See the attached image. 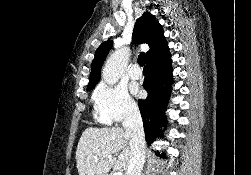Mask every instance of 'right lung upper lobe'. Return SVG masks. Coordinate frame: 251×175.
Segmentation results:
<instances>
[{"instance_id": "1", "label": "right lung upper lobe", "mask_w": 251, "mask_h": 175, "mask_svg": "<svg viewBox=\"0 0 251 175\" xmlns=\"http://www.w3.org/2000/svg\"><path fill=\"white\" fill-rule=\"evenodd\" d=\"M132 39L135 43H146L150 47L147 52V64L158 62L169 55V49L163 35V29L155 16L150 12H145L137 19ZM112 44V40L105 41L96 50L87 89L94 88L100 80L101 66Z\"/></svg>"}]
</instances>
